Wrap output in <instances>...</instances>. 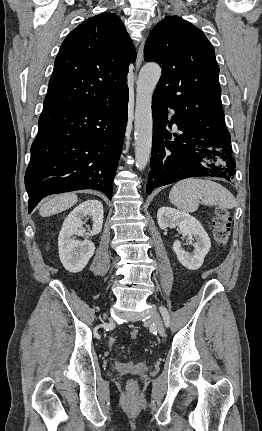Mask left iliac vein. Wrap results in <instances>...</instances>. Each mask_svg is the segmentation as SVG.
Wrapping results in <instances>:
<instances>
[{
	"label": "left iliac vein",
	"mask_w": 262,
	"mask_h": 431,
	"mask_svg": "<svg viewBox=\"0 0 262 431\" xmlns=\"http://www.w3.org/2000/svg\"><path fill=\"white\" fill-rule=\"evenodd\" d=\"M150 315L151 316L149 318V322L152 323L156 327L159 335L163 336L165 333V327H164V324L161 320V317H160L158 310L156 308H152L150 310Z\"/></svg>",
	"instance_id": "obj_1"
}]
</instances>
